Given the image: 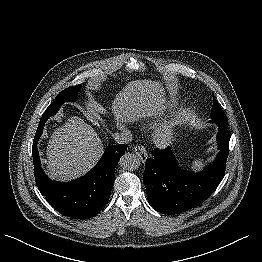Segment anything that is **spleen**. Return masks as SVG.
Segmentation results:
<instances>
[{
	"label": "spleen",
	"instance_id": "1",
	"mask_svg": "<svg viewBox=\"0 0 262 262\" xmlns=\"http://www.w3.org/2000/svg\"><path fill=\"white\" fill-rule=\"evenodd\" d=\"M203 164H204V162L202 160H200V159L198 160L197 159V160L192 162L191 168L195 169V170H199V169L202 168Z\"/></svg>",
	"mask_w": 262,
	"mask_h": 262
}]
</instances>
